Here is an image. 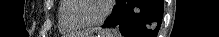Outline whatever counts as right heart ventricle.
Masks as SVG:
<instances>
[{"instance_id": "1", "label": "right heart ventricle", "mask_w": 219, "mask_h": 37, "mask_svg": "<svg viewBox=\"0 0 219 37\" xmlns=\"http://www.w3.org/2000/svg\"><path fill=\"white\" fill-rule=\"evenodd\" d=\"M71 7V2L69 0H62L59 2L57 13H58V22L59 29L62 34L73 33L81 29L73 25L67 18V12Z\"/></svg>"}]
</instances>
